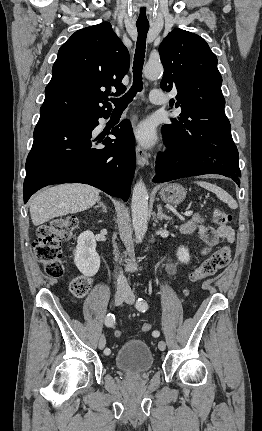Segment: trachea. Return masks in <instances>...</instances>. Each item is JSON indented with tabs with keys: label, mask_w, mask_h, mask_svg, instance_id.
I'll use <instances>...</instances> for the list:
<instances>
[{
	"label": "trachea",
	"mask_w": 262,
	"mask_h": 431,
	"mask_svg": "<svg viewBox=\"0 0 262 431\" xmlns=\"http://www.w3.org/2000/svg\"><path fill=\"white\" fill-rule=\"evenodd\" d=\"M141 12L145 13V8H140ZM138 38L136 43V52L133 63V85L130 90L120 98H113L111 101L115 105L114 110H124L128 104L133 100L136 93L142 90V67L145 57L146 37L149 26L137 25Z\"/></svg>",
	"instance_id": "trachea-1"
}]
</instances>
